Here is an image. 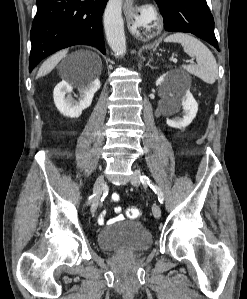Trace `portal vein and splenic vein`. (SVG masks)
Instances as JSON below:
<instances>
[{
  "instance_id": "18ae733b",
  "label": "portal vein and splenic vein",
  "mask_w": 247,
  "mask_h": 299,
  "mask_svg": "<svg viewBox=\"0 0 247 299\" xmlns=\"http://www.w3.org/2000/svg\"><path fill=\"white\" fill-rule=\"evenodd\" d=\"M173 62H176L177 60L175 58H172ZM186 62H193V60H187Z\"/></svg>"
}]
</instances>
